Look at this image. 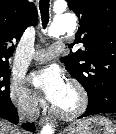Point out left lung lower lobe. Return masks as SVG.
Masks as SVG:
<instances>
[{
  "instance_id": "1",
  "label": "left lung lower lobe",
  "mask_w": 116,
  "mask_h": 134,
  "mask_svg": "<svg viewBox=\"0 0 116 134\" xmlns=\"http://www.w3.org/2000/svg\"><path fill=\"white\" fill-rule=\"evenodd\" d=\"M102 113H116V101L100 100L90 102L88 103L87 109L83 116H91Z\"/></svg>"
}]
</instances>
